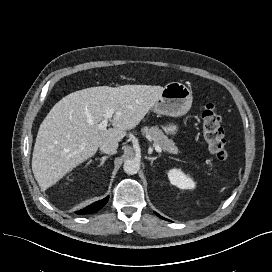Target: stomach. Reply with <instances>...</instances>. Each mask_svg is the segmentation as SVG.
<instances>
[{
    "label": "stomach",
    "mask_w": 272,
    "mask_h": 272,
    "mask_svg": "<svg viewBox=\"0 0 272 272\" xmlns=\"http://www.w3.org/2000/svg\"><path fill=\"white\" fill-rule=\"evenodd\" d=\"M192 91L183 83H168L156 101L153 110L158 115L180 117L185 115L192 105ZM163 130L170 135H175L179 127L174 122H168L162 126Z\"/></svg>",
    "instance_id": "obj_1"
}]
</instances>
